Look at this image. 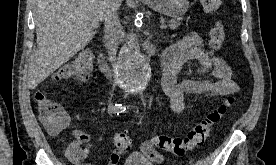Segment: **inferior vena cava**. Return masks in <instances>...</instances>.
Wrapping results in <instances>:
<instances>
[{"mask_svg":"<svg viewBox=\"0 0 276 165\" xmlns=\"http://www.w3.org/2000/svg\"><path fill=\"white\" fill-rule=\"evenodd\" d=\"M116 5H111L108 9L104 21V39H105V46L108 49L109 53V60L111 62L115 61V56L118 47V38L121 34V24L119 20V16L117 13Z\"/></svg>","mask_w":276,"mask_h":165,"instance_id":"1","label":"inferior vena cava"}]
</instances>
